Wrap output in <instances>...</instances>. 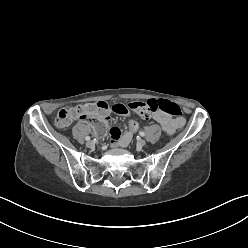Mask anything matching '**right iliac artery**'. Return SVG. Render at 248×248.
I'll return each instance as SVG.
<instances>
[{
    "mask_svg": "<svg viewBox=\"0 0 248 248\" xmlns=\"http://www.w3.org/2000/svg\"><path fill=\"white\" fill-rule=\"evenodd\" d=\"M91 138L89 136L85 137V140L89 141Z\"/></svg>",
    "mask_w": 248,
    "mask_h": 248,
    "instance_id": "82829eb1",
    "label": "right iliac artery"
}]
</instances>
